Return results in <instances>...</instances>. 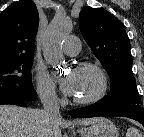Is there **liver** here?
<instances>
[{"instance_id":"obj_1","label":"liver","mask_w":144,"mask_h":137,"mask_svg":"<svg viewBox=\"0 0 144 137\" xmlns=\"http://www.w3.org/2000/svg\"><path fill=\"white\" fill-rule=\"evenodd\" d=\"M98 120L78 119L73 123L89 125ZM70 125L60 117L48 119L42 109L0 105V137H62L60 128Z\"/></svg>"}]
</instances>
